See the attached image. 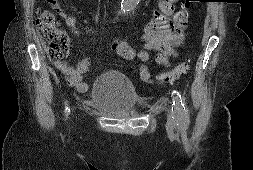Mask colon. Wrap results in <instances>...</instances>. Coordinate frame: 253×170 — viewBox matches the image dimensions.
Wrapping results in <instances>:
<instances>
[{"label": "colon", "instance_id": "obj_1", "mask_svg": "<svg viewBox=\"0 0 253 170\" xmlns=\"http://www.w3.org/2000/svg\"><path fill=\"white\" fill-rule=\"evenodd\" d=\"M190 1L192 0H186L176 13L177 22L181 25L187 24ZM36 25L48 58L54 62L63 61L69 54L70 40L65 32L56 27L54 15L48 10H39ZM186 71L187 64L182 63L171 71L161 74L159 80L165 83L175 82Z\"/></svg>", "mask_w": 253, "mask_h": 170}]
</instances>
